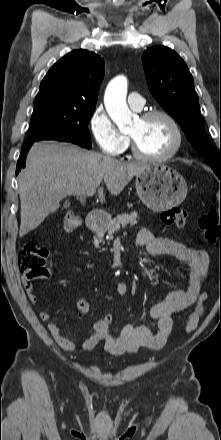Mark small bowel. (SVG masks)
<instances>
[{"instance_id": "small-bowel-1", "label": "small bowel", "mask_w": 221, "mask_h": 440, "mask_svg": "<svg viewBox=\"0 0 221 440\" xmlns=\"http://www.w3.org/2000/svg\"><path fill=\"white\" fill-rule=\"evenodd\" d=\"M136 243L138 246L144 247L151 256L168 254L176 257L182 265L181 272L185 275L183 283L164 299L153 297L149 318L157 322V331H152L143 325L127 324L120 335L114 337L109 330L110 324H105L102 317L95 321L94 333L83 343L77 345L64 336L56 323L50 322L48 312H39V318L48 322V330L60 347L65 350L92 349L102 343L105 351L113 355L135 352L140 348L159 349L165 345L172 333L173 315L189 311L185 322V331H192L197 326L207 301V295L202 291V286L208 277V254L203 250L190 248L172 239L154 237L145 228L138 232ZM75 271L78 272L80 269L75 267ZM22 283L28 300L32 304H37L38 298L34 293L31 281L23 277ZM116 292L120 296L126 295L128 292L127 284L118 282Z\"/></svg>"}]
</instances>
